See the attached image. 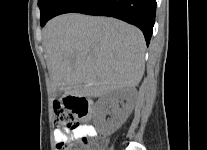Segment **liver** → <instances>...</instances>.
Segmentation results:
<instances>
[{
    "label": "liver",
    "instance_id": "6515ba94",
    "mask_svg": "<svg viewBox=\"0 0 207 150\" xmlns=\"http://www.w3.org/2000/svg\"><path fill=\"white\" fill-rule=\"evenodd\" d=\"M53 91L101 97L137 86L144 74L142 32L114 18L64 14L43 30Z\"/></svg>",
    "mask_w": 207,
    "mask_h": 150
}]
</instances>
